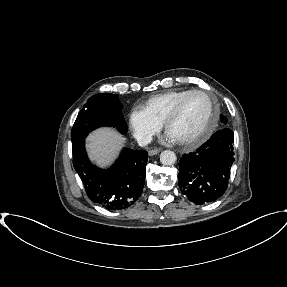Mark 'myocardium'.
Instances as JSON below:
<instances>
[{"mask_svg": "<svg viewBox=\"0 0 287 287\" xmlns=\"http://www.w3.org/2000/svg\"><path fill=\"white\" fill-rule=\"evenodd\" d=\"M204 95L205 97L208 98L210 102V115H209V120L208 123L205 127V129L198 134L195 137H192L190 139H186L180 142H177L179 145L184 146V147H189L193 148L196 147L200 144H202L212 133L214 128L216 127L217 124V115H218V106L211 94H209L206 91L203 90H192L182 98H180L176 104L172 107V109L168 112V114L165 116L163 122H162V127L166 131L169 124L174 121L177 116L179 115L184 103L193 95Z\"/></svg>", "mask_w": 287, "mask_h": 287, "instance_id": "f54148a6", "label": "myocardium"}]
</instances>
